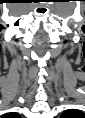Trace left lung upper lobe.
Masks as SVG:
<instances>
[{"label": "left lung upper lobe", "instance_id": "1", "mask_svg": "<svg viewBox=\"0 0 85 118\" xmlns=\"http://www.w3.org/2000/svg\"><path fill=\"white\" fill-rule=\"evenodd\" d=\"M74 113H75L74 110H67V111H65V112L63 113V116L72 115V114H74Z\"/></svg>", "mask_w": 85, "mask_h": 118}]
</instances>
